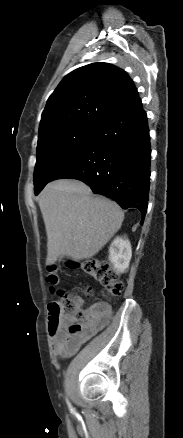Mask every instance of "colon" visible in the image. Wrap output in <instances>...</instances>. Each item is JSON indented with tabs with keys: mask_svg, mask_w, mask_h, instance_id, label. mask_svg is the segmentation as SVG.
<instances>
[{
	"mask_svg": "<svg viewBox=\"0 0 183 438\" xmlns=\"http://www.w3.org/2000/svg\"><path fill=\"white\" fill-rule=\"evenodd\" d=\"M70 268H81L84 272L91 275L104 288V294L108 297L117 296L123 289L122 283L117 278L113 269L105 262L94 258H87L79 262H70ZM46 281L53 290L59 283V277L54 268L48 269ZM91 290L85 291L90 295ZM82 299L78 295H73L65 290H59V300L48 304V322L50 332H55L61 322L69 319L68 332L78 334L82 331V321L85 313L81 309Z\"/></svg>",
	"mask_w": 183,
	"mask_h": 438,
	"instance_id": "obj_1",
	"label": "colon"
}]
</instances>
